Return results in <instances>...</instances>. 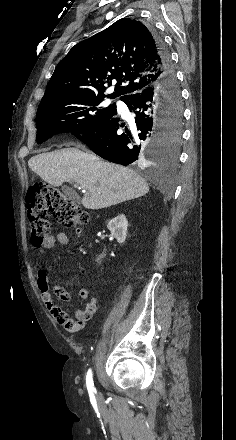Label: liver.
<instances>
[{
  "instance_id": "1",
  "label": "liver",
  "mask_w": 236,
  "mask_h": 440,
  "mask_svg": "<svg viewBox=\"0 0 236 440\" xmlns=\"http://www.w3.org/2000/svg\"><path fill=\"white\" fill-rule=\"evenodd\" d=\"M28 166L53 186L76 182L85 190L82 204L87 209L107 208L149 192L148 183L135 171L78 148L38 154Z\"/></svg>"
}]
</instances>
